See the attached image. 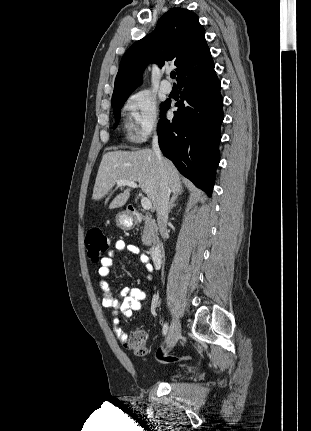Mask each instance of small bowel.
Masks as SVG:
<instances>
[{"label":"small bowel","mask_w":311,"mask_h":431,"mask_svg":"<svg viewBox=\"0 0 311 431\" xmlns=\"http://www.w3.org/2000/svg\"><path fill=\"white\" fill-rule=\"evenodd\" d=\"M117 251H128L132 254H139V248L136 245L129 244L125 241L119 240L115 244ZM115 253L111 251L107 256L100 260V267L98 273L101 277L106 278L109 276L111 268L114 264ZM140 261L148 272L153 271L146 255H140ZM100 288L103 295L102 304L105 308L113 310L112 323L117 337L124 343L127 335L120 328V315L129 318L134 312L142 309V303L146 299L147 294L140 288L124 287L120 289L119 293L115 295L106 281L100 282Z\"/></svg>","instance_id":"obj_1"}]
</instances>
